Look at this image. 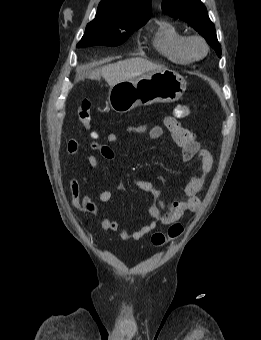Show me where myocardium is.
Instances as JSON below:
<instances>
[{
    "instance_id": "obj_1",
    "label": "myocardium",
    "mask_w": 261,
    "mask_h": 340,
    "mask_svg": "<svg viewBox=\"0 0 261 340\" xmlns=\"http://www.w3.org/2000/svg\"><path fill=\"white\" fill-rule=\"evenodd\" d=\"M198 47L201 48V51H198ZM186 49L193 59H201L208 53L209 46L202 36L192 35L186 40Z\"/></svg>"
}]
</instances>
